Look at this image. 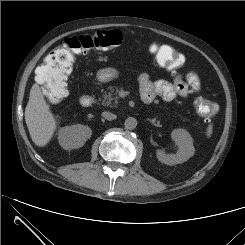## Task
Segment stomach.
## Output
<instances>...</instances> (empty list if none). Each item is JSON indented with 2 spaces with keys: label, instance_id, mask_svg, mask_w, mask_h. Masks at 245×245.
<instances>
[{
  "label": "stomach",
  "instance_id": "0dacf381",
  "mask_svg": "<svg viewBox=\"0 0 245 245\" xmlns=\"http://www.w3.org/2000/svg\"><path fill=\"white\" fill-rule=\"evenodd\" d=\"M119 76V71L113 67H106L99 69L97 72V79L100 82L106 83L112 81Z\"/></svg>",
  "mask_w": 245,
  "mask_h": 245
}]
</instances>
